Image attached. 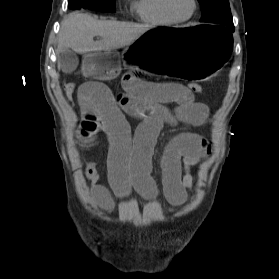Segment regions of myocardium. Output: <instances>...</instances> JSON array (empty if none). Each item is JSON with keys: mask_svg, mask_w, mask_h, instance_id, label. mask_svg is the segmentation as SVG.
Wrapping results in <instances>:
<instances>
[{"mask_svg": "<svg viewBox=\"0 0 279 279\" xmlns=\"http://www.w3.org/2000/svg\"><path fill=\"white\" fill-rule=\"evenodd\" d=\"M193 2V8L191 13L186 16V17H176L169 9L168 7V0H161V6H162V10L165 13V15H167L172 21L177 22V23H181V22H186L188 20H190L193 15L196 13L197 8H198V1L197 0H192Z\"/></svg>", "mask_w": 279, "mask_h": 279, "instance_id": "obj_1", "label": "myocardium"}]
</instances>
